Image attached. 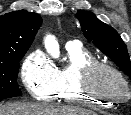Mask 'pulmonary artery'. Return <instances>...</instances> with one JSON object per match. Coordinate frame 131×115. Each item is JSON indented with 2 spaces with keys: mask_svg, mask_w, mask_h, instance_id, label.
I'll use <instances>...</instances> for the list:
<instances>
[{
  "mask_svg": "<svg viewBox=\"0 0 131 115\" xmlns=\"http://www.w3.org/2000/svg\"><path fill=\"white\" fill-rule=\"evenodd\" d=\"M74 45H77V43H75V42H70V43L67 44V46H74Z\"/></svg>",
  "mask_w": 131,
  "mask_h": 115,
  "instance_id": "e3ab8cb5",
  "label": "pulmonary artery"
}]
</instances>
